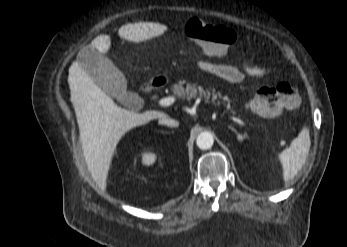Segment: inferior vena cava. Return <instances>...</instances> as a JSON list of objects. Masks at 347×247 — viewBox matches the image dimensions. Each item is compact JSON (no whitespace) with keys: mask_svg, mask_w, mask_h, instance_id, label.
I'll return each instance as SVG.
<instances>
[{"mask_svg":"<svg viewBox=\"0 0 347 247\" xmlns=\"http://www.w3.org/2000/svg\"><path fill=\"white\" fill-rule=\"evenodd\" d=\"M159 124L167 125L170 127H178L179 122L177 120L171 119L167 115H163L161 118H159Z\"/></svg>","mask_w":347,"mask_h":247,"instance_id":"obj_1","label":"inferior vena cava"}]
</instances>
